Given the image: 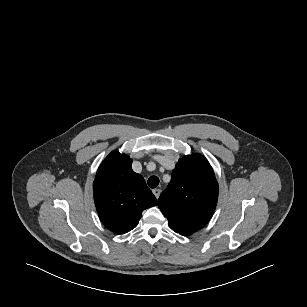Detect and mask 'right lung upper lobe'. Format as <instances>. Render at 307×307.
<instances>
[{
	"label": "right lung upper lobe",
	"instance_id": "obj_1",
	"mask_svg": "<svg viewBox=\"0 0 307 307\" xmlns=\"http://www.w3.org/2000/svg\"><path fill=\"white\" fill-rule=\"evenodd\" d=\"M94 201L103 224L116 234L134 229L146 208L157 205L144 178L132 170V160L112 151L99 166Z\"/></svg>",
	"mask_w": 307,
	"mask_h": 307
}]
</instances>
